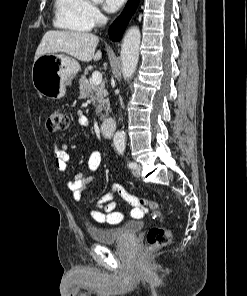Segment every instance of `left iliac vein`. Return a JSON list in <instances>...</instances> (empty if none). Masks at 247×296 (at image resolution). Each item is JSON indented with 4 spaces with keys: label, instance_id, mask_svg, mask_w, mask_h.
I'll list each match as a JSON object with an SVG mask.
<instances>
[{
    "label": "left iliac vein",
    "instance_id": "obj_1",
    "mask_svg": "<svg viewBox=\"0 0 247 296\" xmlns=\"http://www.w3.org/2000/svg\"><path fill=\"white\" fill-rule=\"evenodd\" d=\"M140 172H141L140 166L137 165V167L133 170V175L136 176V177H139Z\"/></svg>",
    "mask_w": 247,
    "mask_h": 296
}]
</instances>
